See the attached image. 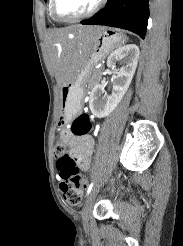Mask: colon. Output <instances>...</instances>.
<instances>
[{
	"label": "colon",
	"mask_w": 183,
	"mask_h": 246,
	"mask_svg": "<svg viewBox=\"0 0 183 246\" xmlns=\"http://www.w3.org/2000/svg\"><path fill=\"white\" fill-rule=\"evenodd\" d=\"M92 128V121L89 115L79 114L71 124V132L74 135L82 136L88 134ZM57 169L61 179L60 192L65 202L77 206L81 203L83 189L87 186L88 178L83 175L76 162L66 152L62 141L56 146Z\"/></svg>",
	"instance_id": "obj_1"
}]
</instances>
